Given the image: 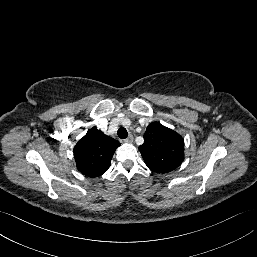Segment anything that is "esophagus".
Wrapping results in <instances>:
<instances>
[{
    "mask_svg": "<svg viewBox=\"0 0 257 257\" xmlns=\"http://www.w3.org/2000/svg\"><path fill=\"white\" fill-rule=\"evenodd\" d=\"M134 141V137L132 135H130L127 139L124 140V142L126 143H133Z\"/></svg>",
    "mask_w": 257,
    "mask_h": 257,
    "instance_id": "1",
    "label": "esophagus"
}]
</instances>
